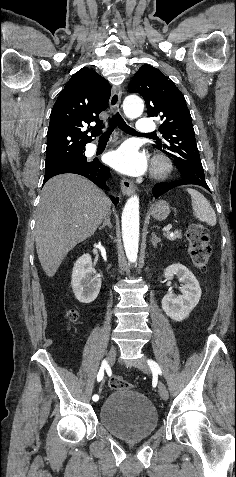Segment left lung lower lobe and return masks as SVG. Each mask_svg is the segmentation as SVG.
I'll list each match as a JSON object with an SVG mask.
<instances>
[{"instance_id": "0a47b994", "label": "left lung lower lobe", "mask_w": 236, "mask_h": 477, "mask_svg": "<svg viewBox=\"0 0 236 477\" xmlns=\"http://www.w3.org/2000/svg\"><path fill=\"white\" fill-rule=\"evenodd\" d=\"M187 184L199 185V186H202V187L206 188L208 191H210L206 182H194V181H190V180L182 178L180 180H176V181H173V182H170V183L161 182V183L155 185L152 189V194L157 199L159 196H161L165 192H167V191H169V190H171V189H173L177 186L187 185Z\"/></svg>"}]
</instances>
